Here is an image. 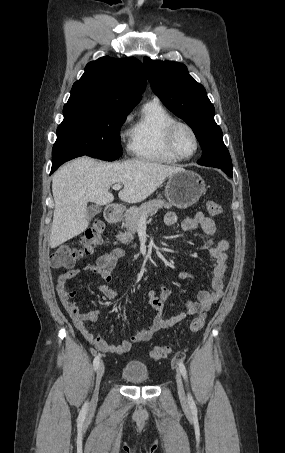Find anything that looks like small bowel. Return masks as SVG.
<instances>
[{
    "label": "small bowel",
    "mask_w": 285,
    "mask_h": 453,
    "mask_svg": "<svg viewBox=\"0 0 285 453\" xmlns=\"http://www.w3.org/2000/svg\"><path fill=\"white\" fill-rule=\"evenodd\" d=\"M164 222L167 226L175 225L177 223V215L174 212L166 213ZM198 227L201 228L207 239L198 244L197 247L206 250L214 260L210 290H200L197 294L196 301H187L185 311L172 316H166L165 314V301L169 296V289L166 286H162L161 292L158 295L152 290L149 291L148 300L154 311V319L149 326L133 334L130 338L131 340H123L118 344H110L100 334H94L86 326V323L98 322L101 315L100 311L95 310L86 314L80 313L73 300L75 292L66 289L67 283L78 276L80 270L70 269L60 274L56 285L57 294L65 311L83 338L101 352L121 355L130 351L134 342L149 341L157 331L169 328L185 320L187 317L208 311L213 304L218 302L223 295L224 281L228 269L227 250L229 243L226 240H214L217 229L216 223L212 218L205 216L201 212L184 219L181 223V229L184 232ZM123 255L124 251L121 248H115L110 252L101 254L97 258L96 264L86 267L89 273L102 280L101 283L97 284L96 288L110 301L117 299L119 296V291L113 288L111 283L114 280L113 269ZM179 277L181 279H190L192 276L190 273L182 271L179 273Z\"/></svg>",
    "instance_id": "small-bowel-1"
}]
</instances>
